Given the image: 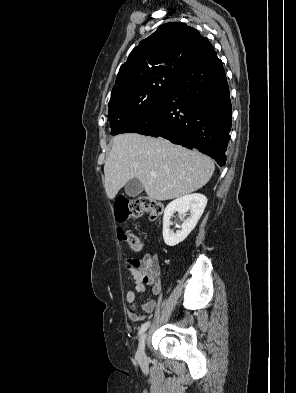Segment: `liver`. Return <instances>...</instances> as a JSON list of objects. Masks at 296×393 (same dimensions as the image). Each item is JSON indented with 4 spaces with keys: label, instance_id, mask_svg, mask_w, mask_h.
<instances>
[{
    "label": "liver",
    "instance_id": "6515ba94",
    "mask_svg": "<svg viewBox=\"0 0 296 393\" xmlns=\"http://www.w3.org/2000/svg\"><path fill=\"white\" fill-rule=\"evenodd\" d=\"M214 170V162L198 151L163 138L126 133L113 138L104 165V187L107 196L114 199L129 180L137 178L149 198L165 201L200 189Z\"/></svg>",
    "mask_w": 296,
    "mask_h": 393
}]
</instances>
